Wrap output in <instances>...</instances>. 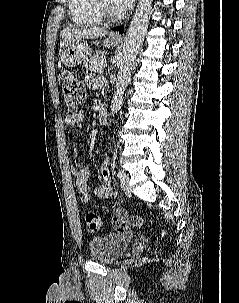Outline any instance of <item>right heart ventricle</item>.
<instances>
[{
	"instance_id": "e07e8e85",
	"label": "right heart ventricle",
	"mask_w": 239,
	"mask_h": 303,
	"mask_svg": "<svg viewBox=\"0 0 239 303\" xmlns=\"http://www.w3.org/2000/svg\"><path fill=\"white\" fill-rule=\"evenodd\" d=\"M70 19L79 26L99 24L102 19L94 9L92 0H67Z\"/></svg>"
}]
</instances>
